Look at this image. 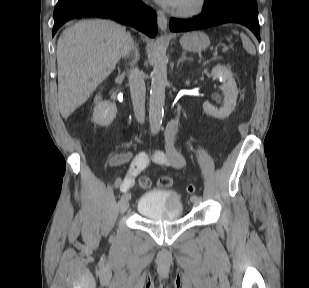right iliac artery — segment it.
Instances as JSON below:
<instances>
[{
  "label": "right iliac artery",
  "mask_w": 309,
  "mask_h": 288,
  "mask_svg": "<svg viewBox=\"0 0 309 288\" xmlns=\"http://www.w3.org/2000/svg\"><path fill=\"white\" fill-rule=\"evenodd\" d=\"M132 193L131 192H125V193H122V196L121 197H119L120 199H123V198H125V199H131L132 198Z\"/></svg>",
  "instance_id": "right-iliac-artery-1"
}]
</instances>
